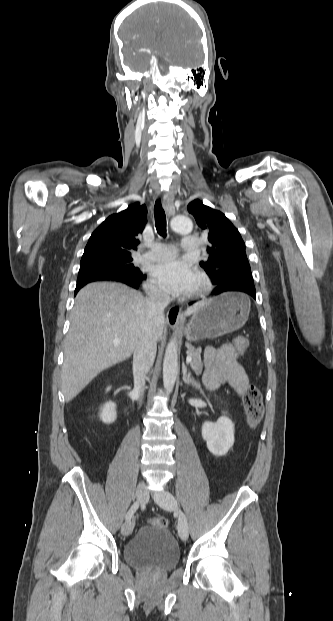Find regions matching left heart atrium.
<instances>
[{"label":"left heart atrium","mask_w":333,"mask_h":621,"mask_svg":"<svg viewBox=\"0 0 333 621\" xmlns=\"http://www.w3.org/2000/svg\"><path fill=\"white\" fill-rule=\"evenodd\" d=\"M151 274L165 290L175 294L191 293L198 280L196 270L179 259H169L154 265Z\"/></svg>","instance_id":"39dd6f15"}]
</instances>
